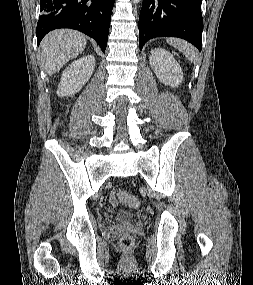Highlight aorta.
<instances>
[{"label": "aorta", "mask_w": 253, "mask_h": 285, "mask_svg": "<svg viewBox=\"0 0 253 285\" xmlns=\"http://www.w3.org/2000/svg\"><path fill=\"white\" fill-rule=\"evenodd\" d=\"M141 0H133V3L138 4Z\"/></svg>", "instance_id": "1"}]
</instances>
